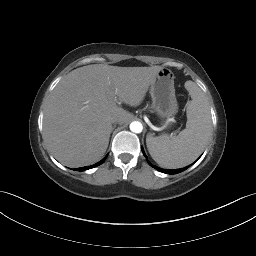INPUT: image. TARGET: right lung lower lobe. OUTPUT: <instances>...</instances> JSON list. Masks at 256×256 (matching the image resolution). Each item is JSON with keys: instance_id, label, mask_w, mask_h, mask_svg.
<instances>
[{"instance_id": "98d812e1", "label": "right lung lower lobe", "mask_w": 256, "mask_h": 256, "mask_svg": "<svg viewBox=\"0 0 256 256\" xmlns=\"http://www.w3.org/2000/svg\"><path fill=\"white\" fill-rule=\"evenodd\" d=\"M106 158H107V156H106L105 158H103L101 161H99L98 163H96V164H94V165H92V166L81 167V168H77V169H75V170L84 171V170H88V169H90V168L99 166V165H101V164L105 161Z\"/></svg>"}]
</instances>
